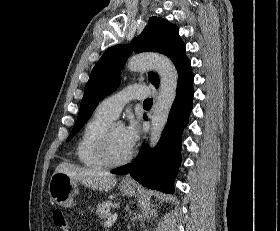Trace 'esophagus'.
Segmentation results:
<instances>
[{
	"instance_id": "1",
	"label": "esophagus",
	"mask_w": 280,
	"mask_h": 231,
	"mask_svg": "<svg viewBox=\"0 0 280 231\" xmlns=\"http://www.w3.org/2000/svg\"><path fill=\"white\" fill-rule=\"evenodd\" d=\"M125 180H130L131 178L129 176H125Z\"/></svg>"
}]
</instances>
